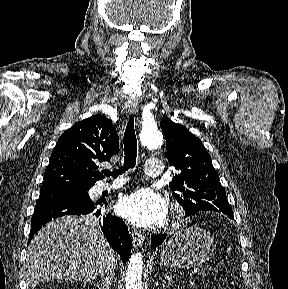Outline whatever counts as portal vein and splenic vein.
<instances>
[{
	"instance_id": "1",
	"label": "portal vein and splenic vein",
	"mask_w": 288,
	"mask_h": 289,
	"mask_svg": "<svg viewBox=\"0 0 288 289\" xmlns=\"http://www.w3.org/2000/svg\"><path fill=\"white\" fill-rule=\"evenodd\" d=\"M199 273H200L201 275H203V274H205V271H204L203 269H201V270L199 271Z\"/></svg>"
}]
</instances>
